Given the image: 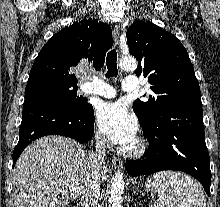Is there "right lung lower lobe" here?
Listing matches in <instances>:
<instances>
[{
  "label": "right lung lower lobe",
  "instance_id": "obj_1",
  "mask_svg": "<svg viewBox=\"0 0 220 207\" xmlns=\"http://www.w3.org/2000/svg\"><path fill=\"white\" fill-rule=\"evenodd\" d=\"M94 133V114L91 104L75 109L54 93L28 89L20 126V136L13 151V167L22 151L32 141L46 135H63L88 142Z\"/></svg>",
  "mask_w": 220,
  "mask_h": 207
}]
</instances>
